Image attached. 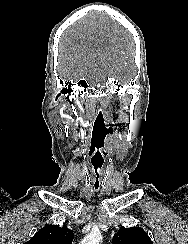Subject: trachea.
<instances>
[{
    "label": "trachea",
    "instance_id": "trachea-1",
    "mask_svg": "<svg viewBox=\"0 0 188 244\" xmlns=\"http://www.w3.org/2000/svg\"><path fill=\"white\" fill-rule=\"evenodd\" d=\"M93 183H94L96 188H99L102 182H101V180H94Z\"/></svg>",
    "mask_w": 188,
    "mask_h": 244
}]
</instances>
